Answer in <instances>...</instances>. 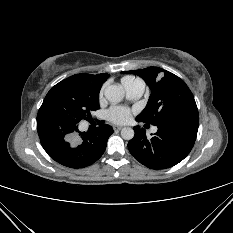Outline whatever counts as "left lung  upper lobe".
Listing matches in <instances>:
<instances>
[{"label": "left lung upper lobe", "mask_w": 233, "mask_h": 233, "mask_svg": "<svg viewBox=\"0 0 233 233\" xmlns=\"http://www.w3.org/2000/svg\"><path fill=\"white\" fill-rule=\"evenodd\" d=\"M124 73L140 76L152 91L145 109L137 116L138 120L160 125L198 116L192 92L186 83L173 73L158 67L124 71Z\"/></svg>", "instance_id": "left-lung-upper-lobe-1"}]
</instances>
